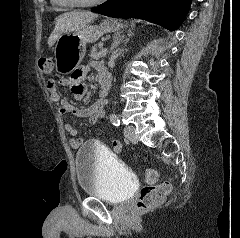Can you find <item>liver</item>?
<instances>
[{
  "label": "liver",
  "instance_id": "liver-1",
  "mask_svg": "<svg viewBox=\"0 0 240 238\" xmlns=\"http://www.w3.org/2000/svg\"><path fill=\"white\" fill-rule=\"evenodd\" d=\"M97 18V14L89 11H72L58 16L55 28L48 39L49 47H52L63 33L73 32L87 26Z\"/></svg>",
  "mask_w": 240,
  "mask_h": 238
}]
</instances>
